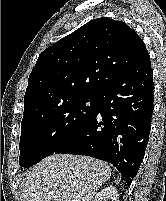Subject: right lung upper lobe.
<instances>
[{
  "label": "right lung upper lobe",
  "instance_id": "right-lung-upper-lobe-1",
  "mask_svg": "<svg viewBox=\"0 0 166 201\" xmlns=\"http://www.w3.org/2000/svg\"><path fill=\"white\" fill-rule=\"evenodd\" d=\"M146 53L143 40L124 22L89 21L39 55L29 76L24 116L97 96Z\"/></svg>",
  "mask_w": 166,
  "mask_h": 201
}]
</instances>
